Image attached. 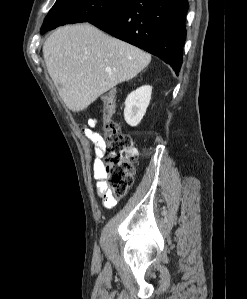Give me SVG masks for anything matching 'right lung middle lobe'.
I'll use <instances>...</instances> for the list:
<instances>
[{"label": "right lung middle lobe", "instance_id": "right-lung-middle-lobe-1", "mask_svg": "<svg viewBox=\"0 0 247 299\" xmlns=\"http://www.w3.org/2000/svg\"><path fill=\"white\" fill-rule=\"evenodd\" d=\"M130 0H57L41 28L44 34L60 25L90 22L124 6Z\"/></svg>", "mask_w": 247, "mask_h": 299}]
</instances>
